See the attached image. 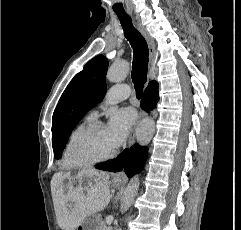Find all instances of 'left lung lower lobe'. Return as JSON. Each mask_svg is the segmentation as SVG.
<instances>
[{
	"label": "left lung lower lobe",
	"mask_w": 241,
	"mask_h": 230,
	"mask_svg": "<svg viewBox=\"0 0 241 230\" xmlns=\"http://www.w3.org/2000/svg\"><path fill=\"white\" fill-rule=\"evenodd\" d=\"M146 159V147L135 144L129 150L125 149L117 158L99 163L95 167L111 172L124 170L128 177H132L136 172H140Z\"/></svg>",
	"instance_id": "left-lung-lower-lobe-1"
}]
</instances>
